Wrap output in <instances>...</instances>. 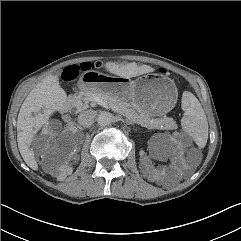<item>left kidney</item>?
<instances>
[{
  "label": "left kidney",
  "mask_w": 241,
  "mask_h": 241,
  "mask_svg": "<svg viewBox=\"0 0 241 241\" xmlns=\"http://www.w3.org/2000/svg\"><path fill=\"white\" fill-rule=\"evenodd\" d=\"M183 134L177 133L175 136L168 138L167 136L157 137L154 139H150L148 142V148L152 155H161L172 153L174 145L178 147H183V142L178 141L176 138H182ZM175 143V144H173Z\"/></svg>",
  "instance_id": "obj_1"
}]
</instances>
